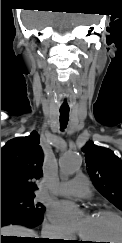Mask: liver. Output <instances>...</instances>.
<instances>
[{"instance_id": "1", "label": "liver", "mask_w": 122, "mask_h": 243, "mask_svg": "<svg viewBox=\"0 0 122 243\" xmlns=\"http://www.w3.org/2000/svg\"><path fill=\"white\" fill-rule=\"evenodd\" d=\"M1 235L38 238L36 233L33 230L18 225H10V226L2 227ZM31 238H27V239H31Z\"/></svg>"}]
</instances>
